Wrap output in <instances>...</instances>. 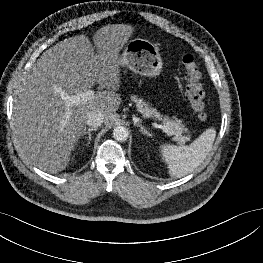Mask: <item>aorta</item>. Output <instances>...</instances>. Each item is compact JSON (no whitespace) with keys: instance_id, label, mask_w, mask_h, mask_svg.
Returning <instances> with one entry per match:
<instances>
[{"instance_id":"aorta-1","label":"aorta","mask_w":263,"mask_h":263,"mask_svg":"<svg viewBox=\"0 0 263 263\" xmlns=\"http://www.w3.org/2000/svg\"><path fill=\"white\" fill-rule=\"evenodd\" d=\"M129 136V131L124 126H117L113 130V138L117 141H126Z\"/></svg>"}]
</instances>
